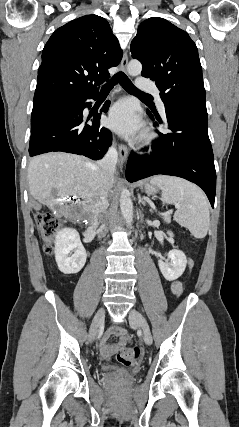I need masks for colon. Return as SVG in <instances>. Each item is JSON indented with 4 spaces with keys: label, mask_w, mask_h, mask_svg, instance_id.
<instances>
[{
    "label": "colon",
    "mask_w": 239,
    "mask_h": 427,
    "mask_svg": "<svg viewBox=\"0 0 239 427\" xmlns=\"http://www.w3.org/2000/svg\"><path fill=\"white\" fill-rule=\"evenodd\" d=\"M37 224L42 237L46 241H49L60 227L59 221L49 213L39 214L37 216ZM46 252L49 254L52 253V248L49 244L46 246ZM141 353L142 351L138 346L124 347L117 352L116 360L125 366L134 365L140 359Z\"/></svg>",
    "instance_id": "5ec220e1"
}]
</instances>
